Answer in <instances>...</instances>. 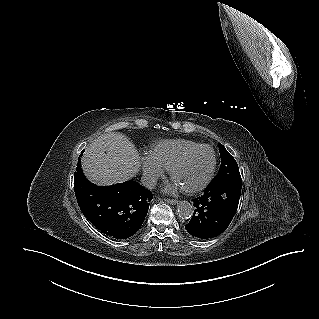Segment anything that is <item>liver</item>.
I'll return each instance as SVG.
<instances>
[{
    "mask_svg": "<svg viewBox=\"0 0 319 319\" xmlns=\"http://www.w3.org/2000/svg\"><path fill=\"white\" fill-rule=\"evenodd\" d=\"M139 160V153L129 138L111 132L87 147L82 167L89 180L111 185L134 177L139 170Z\"/></svg>",
    "mask_w": 319,
    "mask_h": 319,
    "instance_id": "obj_1",
    "label": "liver"
}]
</instances>
